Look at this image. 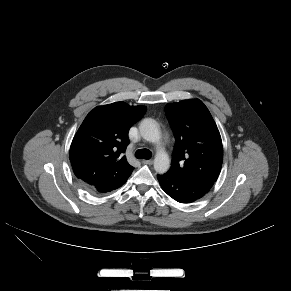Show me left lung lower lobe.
<instances>
[{
  "label": "left lung lower lobe",
  "mask_w": 291,
  "mask_h": 291,
  "mask_svg": "<svg viewBox=\"0 0 291 291\" xmlns=\"http://www.w3.org/2000/svg\"><path fill=\"white\" fill-rule=\"evenodd\" d=\"M157 178L164 192L180 203H189L200 199L210 190L209 187L170 172L157 175Z\"/></svg>",
  "instance_id": "obj_1"
}]
</instances>
